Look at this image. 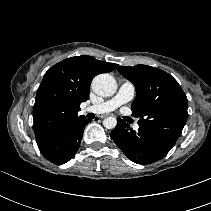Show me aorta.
Here are the masks:
<instances>
[{
	"label": "aorta",
	"mask_w": 211,
	"mask_h": 211,
	"mask_svg": "<svg viewBox=\"0 0 211 211\" xmlns=\"http://www.w3.org/2000/svg\"><path fill=\"white\" fill-rule=\"evenodd\" d=\"M92 89L97 95L108 97L116 92L117 83L110 74H99L92 81ZM103 125L107 129H113L117 125V120L115 117H107L104 119Z\"/></svg>",
	"instance_id": "obj_1"
}]
</instances>
